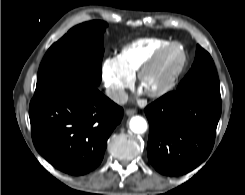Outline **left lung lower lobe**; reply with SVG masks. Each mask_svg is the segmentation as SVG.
<instances>
[{
	"mask_svg": "<svg viewBox=\"0 0 245 195\" xmlns=\"http://www.w3.org/2000/svg\"><path fill=\"white\" fill-rule=\"evenodd\" d=\"M148 159L167 176L183 175L210 154L221 115V98L170 92L145 108Z\"/></svg>",
	"mask_w": 245,
	"mask_h": 195,
	"instance_id": "left-lung-lower-lobe-1",
	"label": "left lung lower lobe"
}]
</instances>
